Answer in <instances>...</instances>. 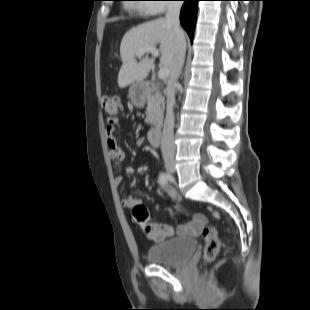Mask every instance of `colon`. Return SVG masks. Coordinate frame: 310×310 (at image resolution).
<instances>
[{
    "instance_id": "colon-1",
    "label": "colon",
    "mask_w": 310,
    "mask_h": 310,
    "mask_svg": "<svg viewBox=\"0 0 310 310\" xmlns=\"http://www.w3.org/2000/svg\"><path fill=\"white\" fill-rule=\"evenodd\" d=\"M101 106L104 113L108 116L110 125L116 123L117 115L121 110V102L116 96H104L101 100ZM134 220L141 224L146 223L149 219L148 209L141 204H137L132 209ZM202 235L204 239V258L212 261L216 258L220 250V239L214 226H203Z\"/></svg>"
}]
</instances>
